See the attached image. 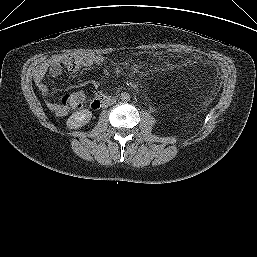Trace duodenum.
I'll list each match as a JSON object with an SVG mask.
<instances>
[{
    "label": "duodenum",
    "mask_w": 257,
    "mask_h": 257,
    "mask_svg": "<svg viewBox=\"0 0 257 257\" xmlns=\"http://www.w3.org/2000/svg\"><path fill=\"white\" fill-rule=\"evenodd\" d=\"M113 101V97L107 94H99L97 95L91 102V107L94 110L100 109L104 105H107Z\"/></svg>",
    "instance_id": "duodenum-1"
}]
</instances>
